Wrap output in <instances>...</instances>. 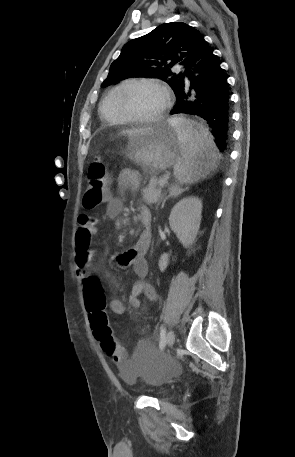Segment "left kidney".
<instances>
[{"label":"left kidney","instance_id":"obj_1","mask_svg":"<svg viewBox=\"0 0 295 457\" xmlns=\"http://www.w3.org/2000/svg\"><path fill=\"white\" fill-rule=\"evenodd\" d=\"M201 214L202 202L197 197L183 198L173 207L170 213V227L185 248H189L195 243L200 228ZM168 263L169 256L164 253L159 260L160 271L163 272Z\"/></svg>","mask_w":295,"mask_h":457}]
</instances>
